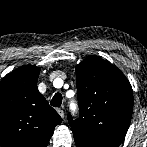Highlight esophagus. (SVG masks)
Masks as SVG:
<instances>
[{
	"mask_svg": "<svg viewBox=\"0 0 147 147\" xmlns=\"http://www.w3.org/2000/svg\"><path fill=\"white\" fill-rule=\"evenodd\" d=\"M57 113L60 115L61 118H64V111L61 108H57Z\"/></svg>",
	"mask_w": 147,
	"mask_h": 147,
	"instance_id": "34e87169",
	"label": "esophagus"
}]
</instances>
